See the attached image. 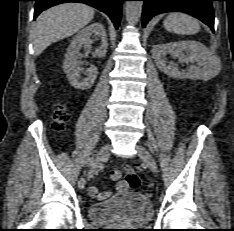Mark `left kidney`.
Returning <instances> with one entry per match:
<instances>
[{
  "label": "left kidney",
  "instance_id": "5707ae66",
  "mask_svg": "<svg viewBox=\"0 0 234 231\" xmlns=\"http://www.w3.org/2000/svg\"><path fill=\"white\" fill-rule=\"evenodd\" d=\"M182 58L190 63L189 72H181L172 62L165 60L167 54ZM152 56L158 68L165 74L178 79L209 80L220 73L221 62L208 48L198 41H178L157 44L152 48Z\"/></svg>",
  "mask_w": 234,
  "mask_h": 231
}]
</instances>
